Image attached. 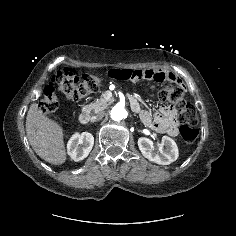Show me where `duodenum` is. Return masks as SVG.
<instances>
[{"instance_id":"duodenum-1","label":"duodenum","mask_w":236,"mask_h":236,"mask_svg":"<svg viewBox=\"0 0 236 236\" xmlns=\"http://www.w3.org/2000/svg\"><path fill=\"white\" fill-rule=\"evenodd\" d=\"M129 101H130V104H131V107L133 108V110L136 111V112H139L140 111V106H139L138 101L133 97H129ZM89 121H90L89 112L86 109L82 110V112L79 115V122L82 125H86V124L89 123Z\"/></svg>"}]
</instances>
